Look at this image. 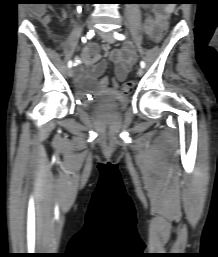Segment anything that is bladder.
I'll use <instances>...</instances> for the list:
<instances>
[{
    "label": "bladder",
    "mask_w": 218,
    "mask_h": 257,
    "mask_svg": "<svg viewBox=\"0 0 218 257\" xmlns=\"http://www.w3.org/2000/svg\"><path fill=\"white\" fill-rule=\"evenodd\" d=\"M119 101L121 104H124L126 102V97L125 96L121 97Z\"/></svg>",
    "instance_id": "obj_1"
}]
</instances>
